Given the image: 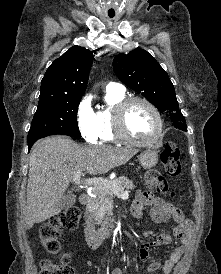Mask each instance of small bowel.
I'll return each mask as SVG.
<instances>
[{
  "label": "small bowel",
  "instance_id": "small-bowel-1",
  "mask_svg": "<svg viewBox=\"0 0 221 274\" xmlns=\"http://www.w3.org/2000/svg\"><path fill=\"white\" fill-rule=\"evenodd\" d=\"M144 206H151V217L155 223L165 222L169 219L176 223L174 237L170 234L162 233L156 239L142 243L139 248V258L144 261L147 259L151 247L176 244L162 264V274H170L191 239L192 223L185 218L182 211L175 205L149 192H137L131 205V214L135 218H141ZM160 267L161 263L159 261H152L147 270L149 273H153ZM111 274H123V271L120 268H115Z\"/></svg>",
  "mask_w": 221,
  "mask_h": 274
}]
</instances>
